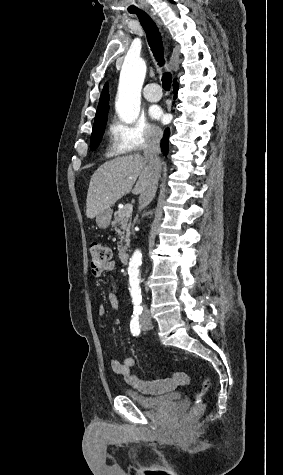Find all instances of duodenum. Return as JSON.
Wrapping results in <instances>:
<instances>
[{"label": "duodenum", "instance_id": "1", "mask_svg": "<svg viewBox=\"0 0 283 475\" xmlns=\"http://www.w3.org/2000/svg\"><path fill=\"white\" fill-rule=\"evenodd\" d=\"M120 260L123 264H126L129 260V254L127 252H122L120 254Z\"/></svg>", "mask_w": 283, "mask_h": 475}]
</instances>
